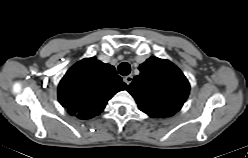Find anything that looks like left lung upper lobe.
Masks as SVG:
<instances>
[{
  "mask_svg": "<svg viewBox=\"0 0 248 158\" xmlns=\"http://www.w3.org/2000/svg\"><path fill=\"white\" fill-rule=\"evenodd\" d=\"M140 74L128 87L138 108L150 117L172 116L189 95L190 85L169 60L151 57L139 67Z\"/></svg>",
  "mask_w": 248,
  "mask_h": 158,
  "instance_id": "1",
  "label": "left lung upper lobe"
}]
</instances>
